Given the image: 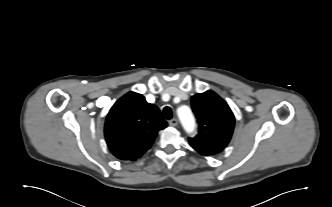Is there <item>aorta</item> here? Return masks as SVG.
I'll return each mask as SVG.
<instances>
[{"label":"aorta","mask_w":332,"mask_h":207,"mask_svg":"<svg viewBox=\"0 0 332 207\" xmlns=\"http://www.w3.org/2000/svg\"><path fill=\"white\" fill-rule=\"evenodd\" d=\"M178 117H179L183 127L186 129V131H188V132L193 131V129L195 127V120L188 107L183 106V107L179 108Z\"/></svg>","instance_id":"762f6f07"}]
</instances>
